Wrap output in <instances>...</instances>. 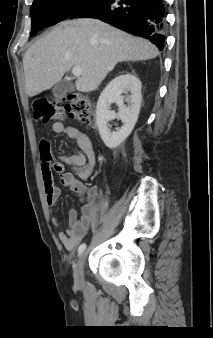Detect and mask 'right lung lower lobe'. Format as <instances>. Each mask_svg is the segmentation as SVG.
<instances>
[{
	"mask_svg": "<svg viewBox=\"0 0 213 338\" xmlns=\"http://www.w3.org/2000/svg\"><path fill=\"white\" fill-rule=\"evenodd\" d=\"M91 17L164 47V0H95L70 18Z\"/></svg>",
	"mask_w": 213,
	"mask_h": 338,
	"instance_id": "1",
	"label": "right lung lower lobe"
}]
</instances>
